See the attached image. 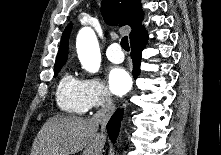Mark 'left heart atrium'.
Instances as JSON below:
<instances>
[{"label": "left heart atrium", "mask_w": 221, "mask_h": 155, "mask_svg": "<svg viewBox=\"0 0 221 155\" xmlns=\"http://www.w3.org/2000/svg\"><path fill=\"white\" fill-rule=\"evenodd\" d=\"M109 86L116 95H124L131 87V78L123 68H114L110 71Z\"/></svg>", "instance_id": "obj_1"}]
</instances>
